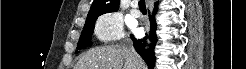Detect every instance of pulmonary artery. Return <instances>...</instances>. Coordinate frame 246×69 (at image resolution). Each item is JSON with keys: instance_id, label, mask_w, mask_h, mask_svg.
Masks as SVG:
<instances>
[{"instance_id": "obj_1", "label": "pulmonary artery", "mask_w": 246, "mask_h": 69, "mask_svg": "<svg viewBox=\"0 0 246 69\" xmlns=\"http://www.w3.org/2000/svg\"><path fill=\"white\" fill-rule=\"evenodd\" d=\"M133 9L131 10V16L138 17L140 12L136 9V4H132Z\"/></svg>"}]
</instances>
